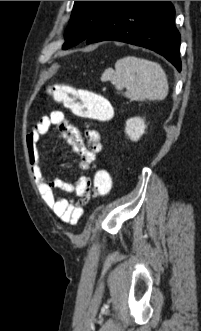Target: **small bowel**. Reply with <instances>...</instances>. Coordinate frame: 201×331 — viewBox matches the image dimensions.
<instances>
[{"label":"small bowel","mask_w":201,"mask_h":331,"mask_svg":"<svg viewBox=\"0 0 201 331\" xmlns=\"http://www.w3.org/2000/svg\"><path fill=\"white\" fill-rule=\"evenodd\" d=\"M51 126L58 129V138L77 156V166L80 170L89 169L97 155L102 153L101 136L97 130L87 129L83 137L76 127L68 123L63 112L58 110L41 117L27 135L30 167L43 201L62 222L74 225L82 217L84 206L89 200L91 179L81 175L75 181H67L45 175L38 142L40 136L47 133ZM56 189L73 192L78 200L68 201L59 196L55 192Z\"/></svg>","instance_id":"small-bowel-1"}]
</instances>
